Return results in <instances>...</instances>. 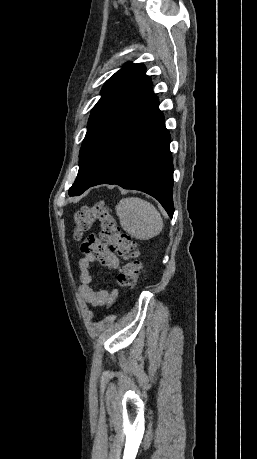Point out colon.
<instances>
[{"instance_id": "obj_1", "label": "colon", "mask_w": 257, "mask_h": 459, "mask_svg": "<svg viewBox=\"0 0 257 459\" xmlns=\"http://www.w3.org/2000/svg\"><path fill=\"white\" fill-rule=\"evenodd\" d=\"M95 220H99L101 223V240L106 242L110 249L118 253L123 259V264L117 275L118 284L125 289L136 287L141 268L136 243L120 231L116 219L112 216L104 200H99L91 206H83L75 213L74 238L78 240Z\"/></svg>"}]
</instances>
